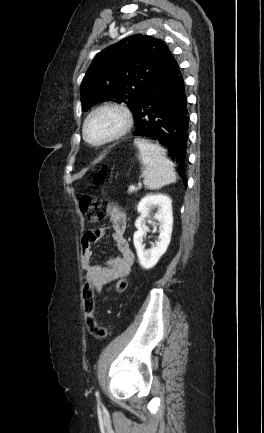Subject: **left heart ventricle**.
Listing matches in <instances>:
<instances>
[{"label": "left heart ventricle", "mask_w": 264, "mask_h": 433, "mask_svg": "<svg viewBox=\"0 0 264 433\" xmlns=\"http://www.w3.org/2000/svg\"><path fill=\"white\" fill-rule=\"evenodd\" d=\"M120 116L112 111L103 112L94 117L87 127L89 138L98 140L114 132L120 125Z\"/></svg>", "instance_id": "1"}]
</instances>
